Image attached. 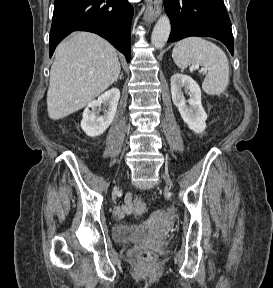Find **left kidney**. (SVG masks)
<instances>
[{
    "mask_svg": "<svg viewBox=\"0 0 273 288\" xmlns=\"http://www.w3.org/2000/svg\"><path fill=\"white\" fill-rule=\"evenodd\" d=\"M183 88L190 95L188 100L184 97ZM171 95L183 121L195 133H202L206 128L207 114L201 104L199 85L190 76L176 73L171 77Z\"/></svg>",
    "mask_w": 273,
    "mask_h": 288,
    "instance_id": "1",
    "label": "left kidney"
}]
</instances>
